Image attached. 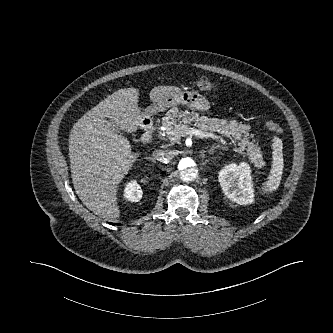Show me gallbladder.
Returning <instances> with one entry per match:
<instances>
[{
	"instance_id": "gallbladder-1",
	"label": "gallbladder",
	"mask_w": 333,
	"mask_h": 333,
	"mask_svg": "<svg viewBox=\"0 0 333 333\" xmlns=\"http://www.w3.org/2000/svg\"><path fill=\"white\" fill-rule=\"evenodd\" d=\"M115 131H116V132H118V131H119V128H118L117 126L115 127Z\"/></svg>"
}]
</instances>
